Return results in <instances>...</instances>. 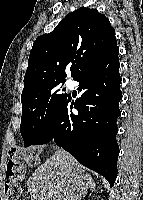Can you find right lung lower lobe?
Wrapping results in <instances>:
<instances>
[{
    "label": "right lung lower lobe",
    "instance_id": "obj_1",
    "mask_svg": "<svg viewBox=\"0 0 143 200\" xmlns=\"http://www.w3.org/2000/svg\"><path fill=\"white\" fill-rule=\"evenodd\" d=\"M119 48L85 67L74 80L80 98L68 95L32 145L54 141L82 165L104 176L113 186L119 146L116 120L120 115ZM73 108L78 113L72 112Z\"/></svg>",
    "mask_w": 143,
    "mask_h": 200
}]
</instances>
